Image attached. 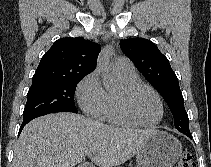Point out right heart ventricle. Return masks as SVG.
Wrapping results in <instances>:
<instances>
[{
    "label": "right heart ventricle",
    "mask_w": 211,
    "mask_h": 167,
    "mask_svg": "<svg viewBox=\"0 0 211 167\" xmlns=\"http://www.w3.org/2000/svg\"><path fill=\"white\" fill-rule=\"evenodd\" d=\"M116 74L123 83V85L139 81V78L134 71L128 73L116 71ZM115 95L116 94L113 92H106L105 109L99 118L111 125L119 127H134V124L127 121L119 113L115 102Z\"/></svg>",
    "instance_id": "1"
}]
</instances>
